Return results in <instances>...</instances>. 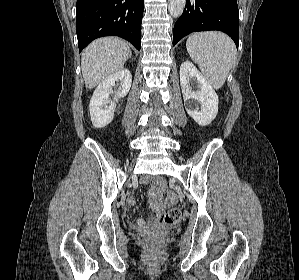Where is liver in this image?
Returning a JSON list of instances; mask_svg holds the SVG:
<instances>
[{
  "mask_svg": "<svg viewBox=\"0 0 299 280\" xmlns=\"http://www.w3.org/2000/svg\"><path fill=\"white\" fill-rule=\"evenodd\" d=\"M128 44L115 37L92 42L82 53L81 70L87 89H92L121 70L130 57Z\"/></svg>",
  "mask_w": 299,
  "mask_h": 280,
  "instance_id": "6515ba94",
  "label": "liver"
}]
</instances>
